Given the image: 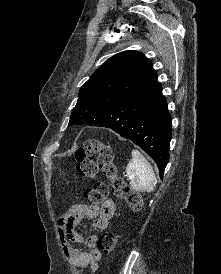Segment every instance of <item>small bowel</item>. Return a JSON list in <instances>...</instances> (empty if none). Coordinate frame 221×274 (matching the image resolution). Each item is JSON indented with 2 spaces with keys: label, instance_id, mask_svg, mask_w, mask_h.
Here are the masks:
<instances>
[{
  "label": "small bowel",
  "instance_id": "small-bowel-1",
  "mask_svg": "<svg viewBox=\"0 0 221 274\" xmlns=\"http://www.w3.org/2000/svg\"><path fill=\"white\" fill-rule=\"evenodd\" d=\"M115 213V203L106 199L101 206L94 204H77L66 212L58 221V232L61 246L69 262L80 269L89 268L95 272L101 253L96 248L97 237L89 235L84 237L77 226L83 220H92L93 229L104 231L108 227L109 220ZM73 243H84L88 250H83Z\"/></svg>",
  "mask_w": 221,
  "mask_h": 274
}]
</instances>
